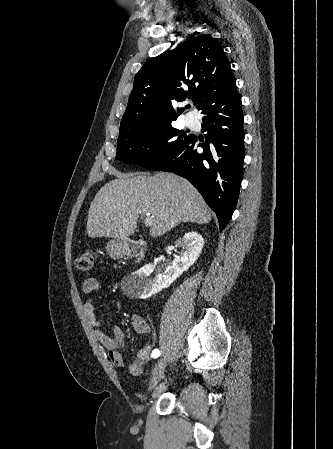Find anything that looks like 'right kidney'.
I'll list each match as a JSON object with an SVG mask.
<instances>
[{
    "label": "right kidney",
    "instance_id": "1",
    "mask_svg": "<svg viewBox=\"0 0 333 449\" xmlns=\"http://www.w3.org/2000/svg\"><path fill=\"white\" fill-rule=\"evenodd\" d=\"M204 246L203 237L197 232L186 233L182 240L176 242V247H183L178 256L172 262L165 274H157L153 279L149 276L153 273L155 265L146 264L135 272L137 295L146 299L170 286L180 275L192 266L198 259Z\"/></svg>",
    "mask_w": 333,
    "mask_h": 449
}]
</instances>
